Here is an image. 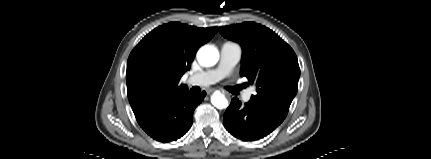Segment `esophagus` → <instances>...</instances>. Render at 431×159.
<instances>
[{"mask_svg":"<svg viewBox=\"0 0 431 159\" xmlns=\"http://www.w3.org/2000/svg\"><path fill=\"white\" fill-rule=\"evenodd\" d=\"M214 91H215V89H213V88L207 89V94H211Z\"/></svg>","mask_w":431,"mask_h":159,"instance_id":"34e87169","label":"esophagus"}]
</instances>
